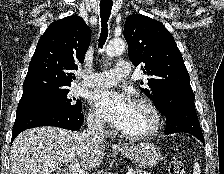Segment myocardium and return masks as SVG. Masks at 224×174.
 I'll list each match as a JSON object with an SVG mask.
<instances>
[{
	"label": "myocardium",
	"instance_id": "obj_1",
	"mask_svg": "<svg viewBox=\"0 0 224 174\" xmlns=\"http://www.w3.org/2000/svg\"><path fill=\"white\" fill-rule=\"evenodd\" d=\"M134 104L143 106L149 111L152 117V125L149 129L138 133H126L120 130V135L130 140H140L153 136L161 126V114L158 108L151 100L143 97L135 99Z\"/></svg>",
	"mask_w": 224,
	"mask_h": 174
}]
</instances>
